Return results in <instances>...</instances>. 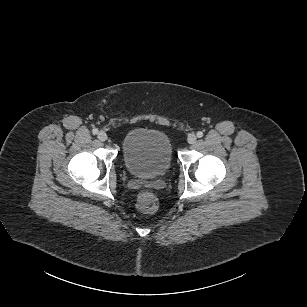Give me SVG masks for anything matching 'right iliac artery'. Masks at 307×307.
I'll return each instance as SVG.
<instances>
[{"label":"right iliac artery","mask_w":307,"mask_h":307,"mask_svg":"<svg viewBox=\"0 0 307 307\" xmlns=\"http://www.w3.org/2000/svg\"><path fill=\"white\" fill-rule=\"evenodd\" d=\"M92 133H93L94 135L98 134V129H93V130H92Z\"/></svg>","instance_id":"82829eb1"}]
</instances>
